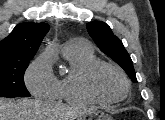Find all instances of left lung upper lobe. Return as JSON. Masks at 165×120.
I'll return each instance as SVG.
<instances>
[{"instance_id": "1", "label": "left lung upper lobe", "mask_w": 165, "mask_h": 120, "mask_svg": "<svg viewBox=\"0 0 165 120\" xmlns=\"http://www.w3.org/2000/svg\"><path fill=\"white\" fill-rule=\"evenodd\" d=\"M86 26L90 36L99 49L119 64L130 79L134 83H137L130 55L124 48L122 41L113 34L111 28L106 23L100 21L89 22Z\"/></svg>"}]
</instances>
